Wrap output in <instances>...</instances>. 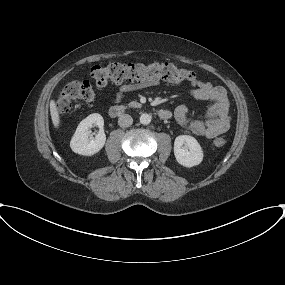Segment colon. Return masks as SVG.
I'll return each instance as SVG.
<instances>
[{"instance_id":"obj_1","label":"colon","mask_w":285,"mask_h":285,"mask_svg":"<svg viewBox=\"0 0 285 285\" xmlns=\"http://www.w3.org/2000/svg\"><path fill=\"white\" fill-rule=\"evenodd\" d=\"M90 75L99 87L108 82L129 81H167L176 84H191L198 80L193 71L184 69L170 62L153 63H110L106 66H94ZM95 98V92L88 81H71L67 83L58 99L57 108L61 114L68 113L73 103L78 101L89 102ZM214 146L222 147L226 141L222 137L214 140Z\"/></svg>"}]
</instances>
